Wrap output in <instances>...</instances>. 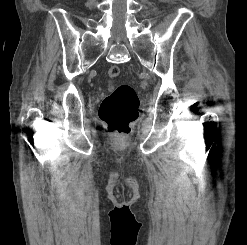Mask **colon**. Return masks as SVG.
<instances>
[{
    "label": "colon",
    "instance_id": "1",
    "mask_svg": "<svg viewBox=\"0 0 247 245\" xmlns=\"http://www.w3.org/2000/svg\"><path fill=\"white\" fill-rule=\"evenodd\" d=\"M119 74L120 69L117 66L108 69V76L112 79L117 78ZM98 114L110 132H128L139 115V98L136 91L126 84L118 86L103 99Z\"/></svg>",
    "mask_w": 247,
    "mask_h": 245
}]
</instances>
